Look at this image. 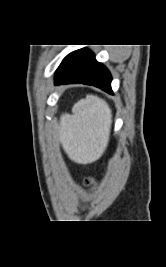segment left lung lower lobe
Instances as JSON below:
<instances>
[{
	"label": "left lung lower lobe",
	"instance_id": "0a47b994",
	"mask_svg": "<svg viewBox=\"0 0 166 267\" xmlns=\"http://www.w3.org/2000/svg\"><path fill=\"white\" fill-rule=\"evenodd\" d=\"M111 79L108 69L89 49H79L63 59L55 74V85L83 83L113 94Z\"/></svg>",
	"mask_w": 166,
	"mask_h": 267
}]
</instances>
